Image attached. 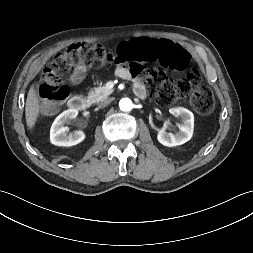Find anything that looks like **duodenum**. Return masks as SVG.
<instances>
[{
    "instance_id": "1",
    "label": "duodenum",
    "mask_w": 253,
    "mask_h": 253,
    "mask_svg": "<svg viewBox=\"0 0 253 253\" xmlns=\"http://www.w3.org/2000/svg\"><path fill=\"white\" fill-rule=\"evenodd\" d=\"M91 101L89 98L75 95L69 100V107L73 110L83 111L89 108Z\"/></svg>"
}]
</instances>
